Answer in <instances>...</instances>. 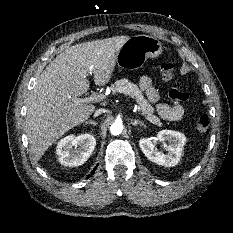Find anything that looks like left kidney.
<instances>
[{
    "label": "left kidney",
    "mask_w": 233,
    "mask_h": 233,
    "mask_svg": "<svg viewBox=\"0 0 233 233\" xmlns=\"http://www.w3.org/2000/svg\"><path fill=\"white\" fill-rule=\"evenodd\" d=\"M155 141L169 142L166 154L155 148ZM185 143V135L173 130H162L158 132L157 137L141 138L139 140V146L147 159L165 167H172L178 164Z\"/></svg>",
    "instance_id": "5707ae66"
}]
</instances>
